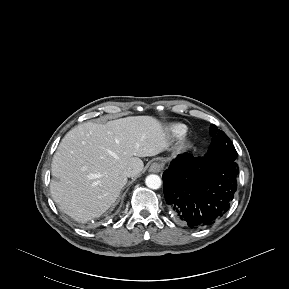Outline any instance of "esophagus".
<instances>
[{
	"label": "esophagus",
	"mask_w": 289,
	"mask_h": 289,
	"mask_svg": "<svg viewBox=\"0 0 289 289\" xmlns=\"http://www.w3.org/2000/svg\"><path fill=\"white\" fill-rule=\"evenodd\" d=\"M162 168H163V165L161 163L153 162L149 167V171L153 173H157V172H160Z\"/></svg>",
	"instance_id": "esophagus-1"
}]
</instances>
